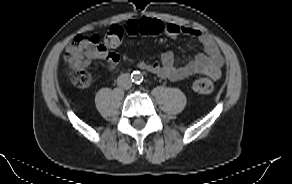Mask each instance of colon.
I'll list each match as a JSON object with an SVG mask.
<instances>
[{"label": "colon", "mask_w": 292, "mask_h": 184, "mask_svg": "<svg viewBox=\"0 0 292 184\" xmlns=\"http://www.w3.org/2000/svg\"><path fill=\"white\" fill-rule=\"evenodd\" d=\"M162 32L160 22L146 19L141 24L142 35L152 36ZM124 35L123 27L112 25L103 39L97 35H77L69 43L65 52L67 72L72 83L86 88L92 84V75L87 69L88 63L98 54L120 46ZM194 89L201 94H209L214 90V83L208 78L195 81Z\"/></svg>", "instance_id": "1"}]
</instances>
